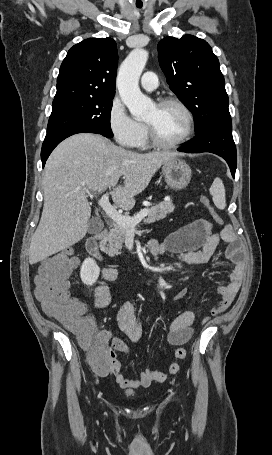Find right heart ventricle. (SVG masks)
Wrapping results in <instances>:
<instances>
[{"mask_svg":"<svg viewBox=\"0 0 272 455\" xmlns=\"http://www.w3.org/2000/svg\"><path fill=\"white\" fill-rule=\"evenodd\" d=\"M148 136H147V130H146V127L144 126V132H143V135L141 137V139L139 140V142L137 143L136 147L140 148V149H146L148 147Z\"/></svg>","mask_w":272,"mask_h":455,"instance_id":"right-heart-ventricle-1","label":"right heart ventricle"}]
</instances>
